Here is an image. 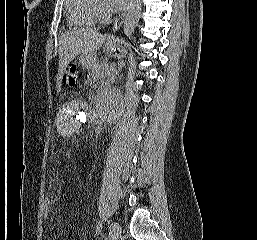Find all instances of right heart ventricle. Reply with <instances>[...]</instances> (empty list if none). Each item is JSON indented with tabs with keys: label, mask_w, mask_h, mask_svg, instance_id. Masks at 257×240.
<instances>
[{
	"label": "right heart ventricle",
	"mask_w": 257,
	"mask_h": 240,
	"mask_svg": "<svg viewBox=\"0 0 257 240\" xmlns=\"http://www.w3.org/2000/svg\"><path fill=\"white\" fill-rule=\"evenodd\" d=\"M97 0H66L68 22L74 27H93L100 21Z\"/></svg>",
	"instance_id": "obj_1"
}]
</instances>
